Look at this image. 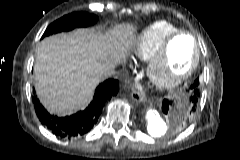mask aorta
<instances>
[{
    "label": "aorta",
    "instance_id": "aorta-1",
    "mask_svg": "<svg viewBox=\"0 0 240 160\" xmlns=\"http://www.w3.org/2000/svg\"><path fill=\"white\" fill-rule=\"evenodd\" d=\"M144 121L150 135L158 137L165 133L166 123L156 108H146L144 112Z\"/></svg>",
    "mask_w": 240,
    "mask_h": 160
}]
</instances>
